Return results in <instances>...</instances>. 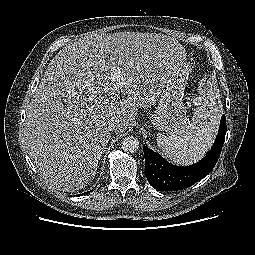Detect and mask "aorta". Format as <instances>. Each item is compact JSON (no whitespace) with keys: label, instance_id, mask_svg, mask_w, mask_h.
Wrapping results in <instances>:
<instances>
[{"label":"aorta","instance_id":"obj_1","mask_svg":"<svg viewBox=\"0 0 255 255\" xmlns=\"http://www.w3.org/2000/svg\"><path fill=\"white\" fill-rule=\"evenodd\" d=\"M121 148L128 153H134L139 148V141L134 136H127L122 140Z\"/></svg>","mask_w":255,"mask_h":255}]
</instances>
